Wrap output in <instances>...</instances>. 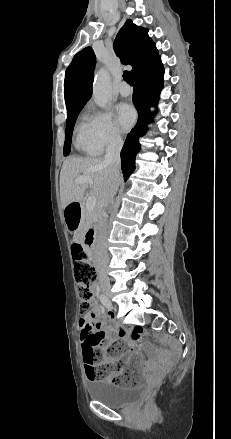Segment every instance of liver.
<instances>
[{
    "label": "liver",
    "instance_id": "1",
    "mask_svg": "<svg viewBox=\"0 0 231 439\" xmlns=\"http://www.w3.org/2000/svg\"><path fill=\"white\" fill-rule=\"evenodd\" d=\"M82 174V175H81ZM79 176L91 178V183L77 184ZM121 178L119 179V183ZM111 185V171L100 157H73L63 163L60 173V198L62 207L79 202L88 188L100 206H105L106 195Z\"/></svg>",
    "mask_w": 231,
    "mask_h": 439
}]
</instances>
